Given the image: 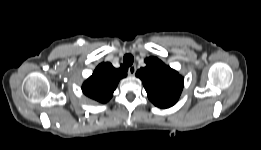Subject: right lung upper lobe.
I'll return each instance as SVG.
<instances>
[{"mask_svg": "<svg viewBox=\"0 0 261 150\" xmlns=\"http://www.w3.org/2000/svg\"><path fill=\"white\" fill-rule=\"evenodd\" d=\"M126 75L121 68L116 69L110 63H101L83 83L82 91L91 99L106 103L112 97L119 80Z\"/></svg>", "mask_w": 261, "mask_h": 150, "instance_id": "right-lung-upper-lobe-1", "label": "right lung upper lobe"}]
</instances>
